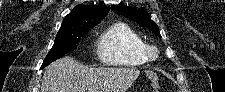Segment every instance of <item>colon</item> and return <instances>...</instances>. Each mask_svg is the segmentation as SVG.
Returning a JSON list of instances; mask_svg holds the SVG:
<instances>
[{
  "label": "colon",
  "mask_w": 225,
  "mask_h": 92,
  "mask_svg": "<svg viewBox=\"0 0 225 92\" xmlns=\"http://www.w3.org/2000/svg\"><path fill=\"white\" fill-rule=\"evenodd\" d=\"M148 78L154 83L157 84V77L152 75V74H148Z\"/></svg>",
  "instance_id": "5ec220e1"
}]
</instances>
